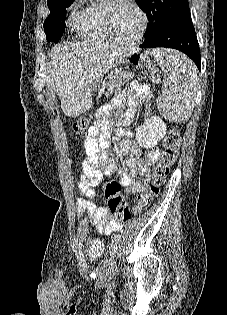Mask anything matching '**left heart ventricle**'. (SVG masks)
Here are the masks:
<instances>
[{"label": "left heart ventricle", "instance_id": "b2bd125f", "mask_svg": "<svg viewBox=\"0 0 227 315\" xmlns=\"http://www.w3.org/2000/svg\"><path fill=\"white\" fill-rule=\"evenodd\" d=\"M141 23L140 15L132 6L121 4L117 7L114 13L113 25L120 40H133L140 31Z\"/></svg>", "mask_w": 227, "mask_h": 315}]
</instances>
